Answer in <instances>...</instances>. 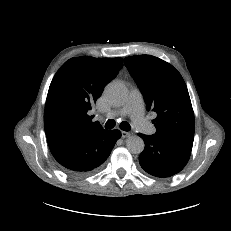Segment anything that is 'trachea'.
Returning <instances> with one entry per match:
<instances>
[{
  "label": "trachea",
  "mask_w": 231,
  "mask_h": 231,
  "mask_svg": "<svg viewBox=\"0 0 231 231\" xmlns=\"http://www.w3.org/2000/svg\"><path fill=\"white\" fill-rule=\"evenodd\" d=\"M115 126V121L114 120H108L106 123H105V128L106 129H112L113 127ZM120 128L124 131H128L131 129V126L129 125V123L127 122H121L120 123Z\"/></svg>",
  "instance_id": "1"
}]
</instances>
